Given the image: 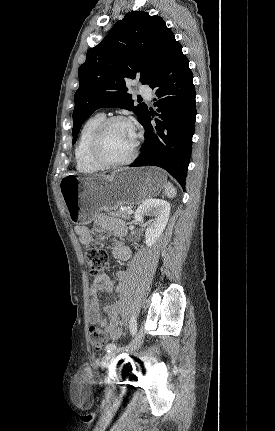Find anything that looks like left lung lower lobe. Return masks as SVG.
I'll list each match as a JSON object with an SVG mask.
<instances>
[{"instance_id":"obj_1","label":"left lung lower lobe","mask_w":275,"mask_h":431,"mask_svg":"<svg viewBox=\"0 0 275 431\" xmlns=\"http://www.w3.org/2000/svg\"><path fill=\"white\" fill-rule=\"evenodd\" d=\"M156 95L157 112L148 111L142 121L145 141L130 167L157 166L168 171L183 187L192 151L196 101L193 75L181 45L150 86ZM156 125L151 124L152 117Z\"/></svg>"}]
</instances>
